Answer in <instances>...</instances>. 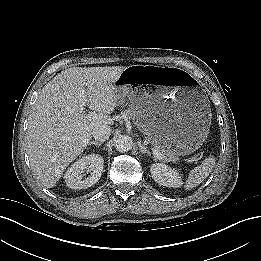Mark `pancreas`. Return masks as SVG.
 <instances>
[{
  "label": "pancreas",
  "mask_w": 261,
  "mask_h": 261,
  "mask_svg": "<svg viewBox=\"0 0 261 261\" xmlns=\"http://www.w3.org/2000/svg\"><path fill=\"white\" fill-rule=\"evenodd\" d=\"M125 115L132 118V120L138 125L141 126L140 117L138 113L134 110L128 109L124 112ZM156 149H158L163 155H166L169 161H175L177 159L176 155L169 150V148L164 147L162 145H154Z\"/></svg>",
  "instance_id": "cf45deb5"
}]
</instances>
